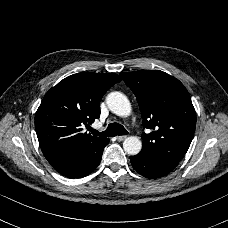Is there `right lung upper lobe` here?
<instances>
[{"label":"right lung upper lobe","instance_id":"right-lung-upper-lobe-1","mask_svg":"<svg viewBox=\"0 0 228 228\" xmlns=\"http://www.w3.org/2000/svg\"><path fill=\"white\" fill-rule=\"evenodd\" d=\"M122 79L115 73L83 72L66 77L44 96L35 115L38 141L48 161L72 156L101 138L80 126L100 116L102 96Z\"/></svg>","mask_w":228,"mask_h":228}]
</instances>
